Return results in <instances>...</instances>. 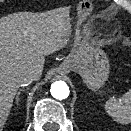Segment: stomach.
Here are the masks:
<instances>
[{"mask_svg":"<svg viewBox=\"0 0 131 131\" xmlns=\"http://www.w3.org/2000/svg\"><path fill=\"white\" fill-rule=\"evenodd\" d=\"M65 64L66 71H77L86 86L93 91L100 89L108 79V57L98 46L86 50L80 58H73Z\"/></svg>","mask_w":131,"mask_h":131,"instance_id":"obj_1","label":"stomach"}]
</instances>
